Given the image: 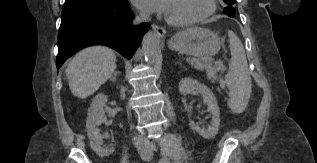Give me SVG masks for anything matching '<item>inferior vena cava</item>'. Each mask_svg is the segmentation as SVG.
<instances>
[{
    "label": "inferior vena cava",
    "instance_id": "obj_1",
    "mask_svg": "<svg viewBox=\"0 0 317 163\" xmlns=\"http://www.w3.org/2000/svg\"><path fill=\"white\" fill-rule=\"evenodd\" d=\"M149 20V15L142 13L136 17L135 23ZM133 143L138 150L141 158L149 159L153 156V145L144 137L136 136L133 138Z\"/></svg>",
    "mask_w": 317,
    "mask_h": 163
}]
</instances>
